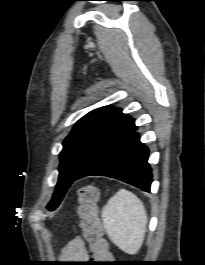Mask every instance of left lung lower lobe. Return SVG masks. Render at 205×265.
Listing matches in <instances>:
<instances>
[{"instance_id":"1","label":"left lung lower lobe","mask_w":205,"mask_h":265,"mask_svg":"<svg viewBox=\"0 0 205 265\" xmlns=\"http://www.w3.org/2000/svg\"><path fill=\"white\" fill-rule=\"evenodd\" d=\"M134 120L111 140L77 175L75 180L86 176H107L150 192L151 168L149 150L140 142ZM74 180V181H75Z\"/></svg>"}]
</instances>
